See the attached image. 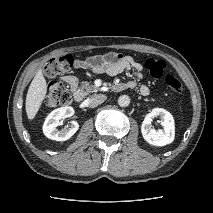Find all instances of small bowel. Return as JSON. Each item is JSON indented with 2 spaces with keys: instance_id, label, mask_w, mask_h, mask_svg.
<instances>
[{
  "instance_id": "1",
  "label": "small bowel",
  "mask_w": 213,
  "mask_h": 213,
  "mask_svg": "<svg viewBox=\"0 0 213 213\" xmlns=\"http://www.w3.org/2000/svg\"><path fill=\"white\" fill-rule=\"evenodd\" d=\"M74 67L77 69L91 70L94 73L106 74L108 76H116L123 72H130L136 78L134 81L127 82L131 88L135 87L137 83L143 79V67L141 63L134 60L131 56L116 53L95 55L85 59H78L74 62ZM62 79L69 85L72 92L78 90L79 78L76 75L66 74L62 77ZM139 91L143 96H147L150 93L148 86L145 84L140 85Z\"/></svg>"
}]
</instances>
